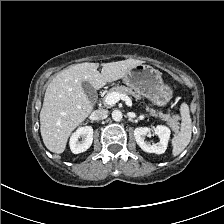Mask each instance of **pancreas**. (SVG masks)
Masks as SVG:
<instances>
[{"label":"pancreas","instance_id":"pancreas-1","mask_svg":"<svg viewBox=\"0 0 224 224\" xmlns=\"http://www.w3.org/2000/svg\"><path fill=\"white\" fill-rule=\"evenodd\" d=\"M112 92H118L120 94H125V95L132 96V97L135 98L136 101L141 100V95L139 93H137L136 91H134L130 87L117 85L115 87H112L108 91V94L112 93ZM146 110L150 113V115H152V116H154L156 118H160L161 120L167 122V124L172 128V130L177 131L178 124H179L177 115L171 116L170 114H164L161 111L154 110V109H152V108H150L148 106H146Z\"/></svg>","mask_w":224,"mask_h":224}]
</instances>
